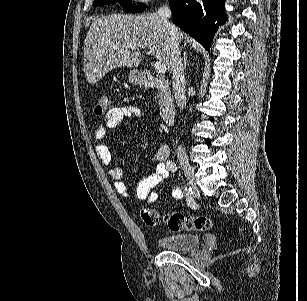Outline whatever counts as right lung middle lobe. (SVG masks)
Segmentation results:
<instances>
[{
  "label": "right lung middle lobe",
  "instance_id": "obj_1",
  "mask_svg": "<svg viewBox=\"0 0 307 301\" xmlns=\"http://www.w3.org/2000/svg\"><path fill=\"white\" fill-rule=\"evenodd\" d=\"M118 0H94L93 2V6L97 7V6H103L105 4H109V3H115ZM123 6V10L125 12H129V13H138V12H142L145 10L146 6L142 3H138V5H133L130 3V0H128L127 3H122Z\"/></svg>",
  "mask_w": 307,
  "mask_h": 301
}]
</instances>
